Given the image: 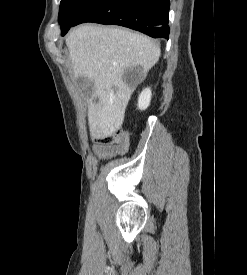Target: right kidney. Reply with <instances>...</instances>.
I'll list each match as a JSON object with an SVG mask.
<instances>
[{"instance_id":"obj_1","label":"right kidney","mask_w":247,"mask_h":275,"mask_svg":"<svg viewBox=\"0 0 247 275\" xmlns=\"http://www.w3.org/2000/svg\"><path fill=\"white\" fill-rule=\"evenodd\" d=\"M151 95L152 93L150 88H146L141 92L138 98V108L140 110H145L150 105Z\"/></svg>"}]
</instances>
